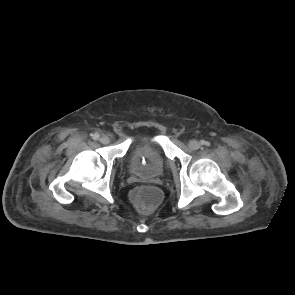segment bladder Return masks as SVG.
I'll return each instance as SVG.
<instances>
[{"mask_svg": "<svg viewBox=\"0 0 295 295\" xmlns=\"http://www.w3.org/2000/svg\"><path fill=\"white\" fill-rule=\"evenodd\" d=\"M130 171L142 178L152 179L160 177L167 166V158L161 148L138 144L128 154Z\"/></svg>", "mask_w": 295, "mask_h": 295, "instance_id": "bladder-1", "label": "bladder"}]
</instances>
